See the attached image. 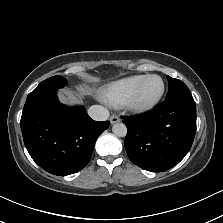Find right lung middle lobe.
Here are the masks:
<instances>
[{"mask_svg": "<svg viewBox=\"0 0 223 223\" xmlns=\"http://www.w3.org/2000/svg\"><path fill=\"white\" fill-rule=\"evenodd\" d=\"M67 84L66 80L62 76H52L42 81L31 93L28 94L27 98L44 94L50 90H57Z\"/></svg>", "mask_w": 223, "mask_h": 223, "instance_id": "1", "label": "right lung middle lobe"}]
</instances>
